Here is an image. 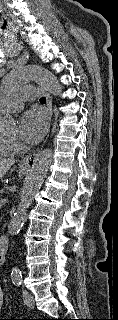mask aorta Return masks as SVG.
I'll use <instances>...</instances> for the list:
<instances>
[{
    "instance_id": "762f6f07",
    "label": "aorta",
    "mask_w": 118,
    "mask_h": 320,
    "mask_svg": "<svg viewBox=\"0 0 118 320\" xmlns=\"http://www.w3.org/2000/svg\"><path fill=\"white\" fill-rule=\"evenodd\" d=\"M36 81L40 83L49 93L60 96L62 86L57 77L42 66H26L21 69H14L4 78V85L0 89V94L5 95L19 85ZM17 126V119L9 113L0 115V129L13 130ZM53 159L51 149L42 150L35 158L32 170L22 189L18 208L8 225V233L14 236L19 233L27 218V209L32 204L36 194L41 188L47 175L49 166ZM22 277L19 268L14 267L11 271L13 280H20Z\"/></svg>"
}]
</instances>
